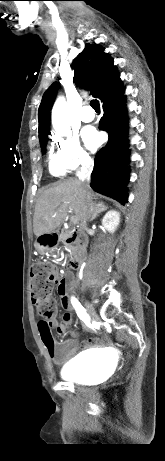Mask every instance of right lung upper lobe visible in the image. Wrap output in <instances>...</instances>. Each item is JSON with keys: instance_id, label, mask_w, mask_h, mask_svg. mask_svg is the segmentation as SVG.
Here are the masks:
<instances>
[{"instance_id": "cb5924a9", "label": "right lung upper lobe", "mask_w": 165, "mask_h": 461, "mask_svg": "<svg viewBox=\"0 0 165 461\" xmlns=\"http://www.w3.org/2000/svg\"><path fill=\"white\" fill-rule=\"evenodd\" d=\"M74 81L93 97L104 104L115 99L123 90L120 74L113 64V59L100 45H85L84 50L74 59ZM59 83L54 82L44 93L39 106V137L49 133V114Z\"/></svg>"}]
</instances>
